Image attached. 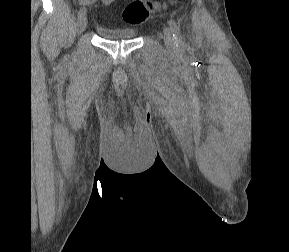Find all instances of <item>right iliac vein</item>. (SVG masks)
<instances>
[{
  "mask_svg": "<svg viewBox=\"0 0 289 252\" xmlns=\"http://www.w3.org/2000/svg\"><path fill=\"white\" fill-rule=\"evenodd\" d=\"M87 27V17L86 15H83L81 17L78 18L77 21V32L81 33L83 32Z\"/></svg>",
  "mask_w": 289,
  "mask_h": 252,
  "instance_id": "right-iliac-vein-1",
  "label": "right iliac vein"
}]
</instances>
